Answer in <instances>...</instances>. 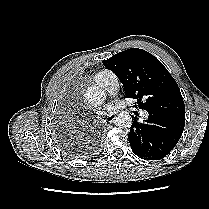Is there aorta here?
I'll return each mask as SVG.
<instances>
[{"label": "aorta", "instance_id": "762f6f07", "mask_svg": "<svg viewBox=\"0 0 209 209\" xmlns=\"http://www.w3.org/2000/svg\"><path fill=\"white\" fill-rule=\"evenodd\" d=\"M105 97V91L98 86H91L85 92L87 102L93 105L102 104ZM115 124L120 128H130L132 125V117L127 112H122L117 115Z\"/></svg>", "mask_w": 209, "mask_h": 209}]
</instances>
